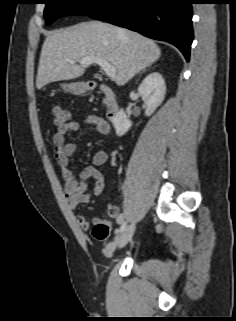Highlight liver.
Listing matches in <instances>:
<instances>
[{"instance_id":"6515ba94","label":"liver","mask_w":236,"mask_h":321,"mask_svg":"<svg viewBox=\"0 0 236 321\" xmlns=\"http://www.w3.org/2000/svg\"><path fill=\"white\" fill-rule=\"evenodd\" d=\"M159 46L134 31L100 21H90L52 31L43 43L36 87L82 76L86 67L71 61L99 57L116 68L114 80L123 86L138 72L156 62Z\"/></svg>"}]
</instances>
